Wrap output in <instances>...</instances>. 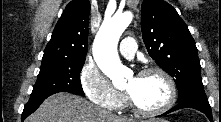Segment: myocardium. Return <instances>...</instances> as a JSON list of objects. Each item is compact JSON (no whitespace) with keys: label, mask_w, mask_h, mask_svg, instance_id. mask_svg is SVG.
<instances>
[{"label":"myocardium","mask_w":221,"mask_h":122,"mask_svg":"<svg viewBox=\"0 0 221 122\" xmlns=\"http://www.w3.org/2000/svg\"><path fill=\"white\" fill-rule=\"evenodd\" d=\"M149 74H157L161 76L163 80L165 81L167 88H168V98L165 104H163L161 107L156 108V109H145V108L140 107L132 98V96L127 92L125 93V98H126L128 105L131 107V109L135 113L139 115H143V116H156V115H160V114L167 112L173 107L177 98V90H176V85L172 77L164 69L160 67L144 68L140 72H138L137 76L141 77V76H145Z\"/></svg>","instance_id":"myocardium-1"}]
</instances>
